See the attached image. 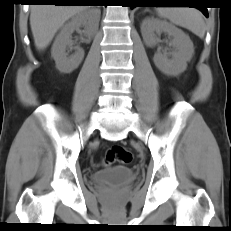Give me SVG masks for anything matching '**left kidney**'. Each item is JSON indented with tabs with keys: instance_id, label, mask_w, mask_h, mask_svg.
Wrapping results in <instances>:
<instances>
[{
	"instance_id": "left-kidney-1",
	"label": "left kidney",
	"mask_w": 231,
	"mask_h": 231,
	"mask_svg": "<svg viewBox=\"0 0 231 231\" xmlns=\"http://www.w3.org/2000/svg\"><path fill=\"white\" fill-rule=\"evenodd\" d=\"M167 33L172 40L170 44L174 48L172 58L157 52L154 55L156 67L170 76L180 75L186 70L187 62L191 60L194 46L190 37L174 25L154 18H145L141 25V33L145 44L154 47L159 42L158 35Z\"/></svg>"
}]
</instances>
